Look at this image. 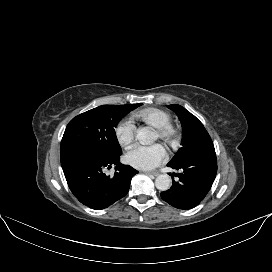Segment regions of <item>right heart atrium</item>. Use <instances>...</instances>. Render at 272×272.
<instances>
[{
  "label": "right heart atrium",
  "mask_w": 272,
  "mask_h": 272,
  "mask_svg": "<svg viewBox=\"0 0 272 272\" xmlns=\"http://www.w3.org/2000/svg\"><path fill=\"white\" fill-rule=\"evenodd\" d=\"M115 135L118 143L127 149L134 143L136 127L130 119H122L115 127Z\"/></svg>",
  "instance_id": "right-heart-atrium-1"
}]
</instances>
